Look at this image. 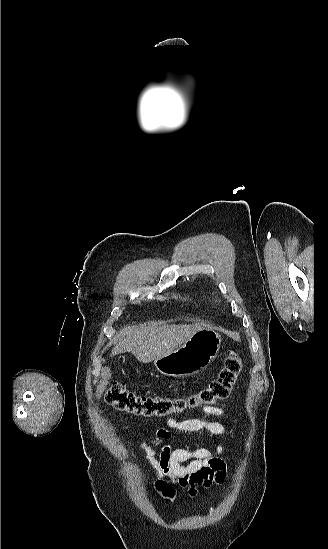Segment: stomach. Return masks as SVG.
<instances>
[{
	"label": "stomach",
	"instance_id": "1",
	"mask_svg": "<svg viewBox=\"0 0 328 549\" xmlns=\"http://www.w3.org/2000/svg\"><path fill=\"white\" fill-rule=\"evenodd\" d=\"M221 345V337L211 327H202L182 347L154 361V365L166 377H192L205 371L215 361Z\"/></svg>",
	"mask_w": 328,
	"mask_h": 549
}]
</instances>
